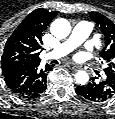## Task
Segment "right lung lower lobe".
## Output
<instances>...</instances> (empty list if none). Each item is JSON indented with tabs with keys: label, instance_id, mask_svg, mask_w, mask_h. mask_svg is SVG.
<instances>
[{
	"label": "right lung lower lobe",
	"instance_id": "obj_1",
	"mask_svg": "<svg viewBox=\"0 0 115 119\" xmlns=\"http://www.w3.org/2000/svg\"><path fill=\"white\" fill-rule=\"evenodd\" d=\"M40 64H30L4 74L6 85L17 95L36 98L43 93L47 87V73L49 66L45 69Z\"/></svg>",
	"mask_w": 115,
	"mask_h": 119
}]
</instances>
